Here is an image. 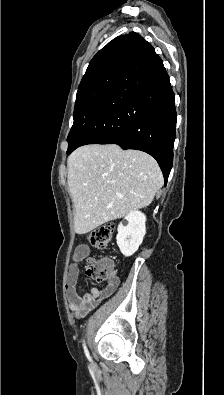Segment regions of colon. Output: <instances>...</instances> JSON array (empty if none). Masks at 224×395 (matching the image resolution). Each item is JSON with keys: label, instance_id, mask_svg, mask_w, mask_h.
<instances>
[{"label": "colon", "instance_id": "colon-1", "mask_svg": "<svg viewBox=\"0 0 224 395\" xmlns=\"http://www.w3.org/2000/svg\"><path fill=\"white\" fill-rule=\"evenodd\" d=\"M114 234L112 225L100 226L88 233V241L96 249H104ZM86 274L97 282L110 281L115 277L116 271L107 259H90L86 267Z\"/></svg>", "mask_w": 224, "mask_h": 395}]
</instances>
